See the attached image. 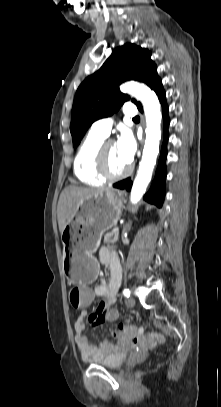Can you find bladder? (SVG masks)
Instances as JSON below:
<instances>
[{"label":"bladder","instance_id":"obj_1","mask_svg":"<svg viewBox=\"0 0 221 407\" xmlns=\"http://www.w3.org/2000/svg\"><path fill=\"white\" fill-rule=\"evenodd\" d=\"M125 360L126 354L123 352H117L116 350L103 358L90 360L89 362L93 365L102 366L108 369H117L125 362Z\"/></svg>","mask_w":221,"mask_h":407}]
</instances>
